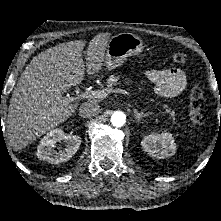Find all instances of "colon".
Returning a JSON list of instances; mask_svg holds the SVG:
<instances>
[{
  "label": "colon",
  "instance_id": "1",
  "mask_svg": "<svg viewBox=\"0 0 221 221\" xmlns=\"http://www.w3.org/2000/svg\"><path fill=\"white\" fill-rule=\"evenodd\" d=\"M171 61L175 65L182 66L187 62V56L184 53L177 52L171 56ZM204 108L203 91L198 84H193L190 89V110L189 116L193 124L202 126L205 123V118L202 114Z\"/></svg>",
  "mask_w": 221,
  "mask_h": 221
}]
</instances>
